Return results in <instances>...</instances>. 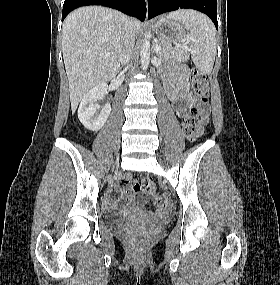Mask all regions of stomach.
Returning <instances> with one entry per match:
<instances>
[{
  "label": "stomach",
  "instance_id": "1",
  "mask_svg": "<svg viewBox=\"0 0 280 285\" xmlns=\"http://www.w3.org/2000/svg\"><path fill=\"white\" fill-rule=\"evenodd\" d=\"M152 29L159 38L171 43L181 42L187 36L183 24L166 16L153 21Z\"/></svg>",
  "mask_w": 280,
  "mask_h": 285
}]
</instances>
